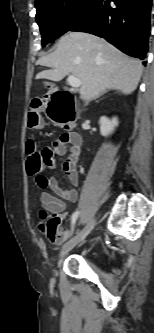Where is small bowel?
Listing matches in <instances>:
<instances>
[{
    "instance_id": "obj_1",
    "label": "small bowel",
    "mask_w": 154,
    "mask_h": 333,
    "mask_svg": "<svg viewBox=\"0 0 154 333\" xmlns=\"http://www.w3.org/2000/svg\"><path fill=\"white\" fill-rule=\"evenodd\" d=\"M81 144L80 135L67 132L54 140L51 146L43 148L40 152L43 164L51 169L56 166L55 156H64L68 153L63 169L73 188H63L54 176L37 175L35 179L37 185L44 190L40 196L44 209L57 214L60 220L65 213V202H75L78 199L76 187L79 185L80 179L77 161ZM59 231L61 237L54 241L56 244L62 243L69 236V231Z\"/></svg>"
}]
</instances>
